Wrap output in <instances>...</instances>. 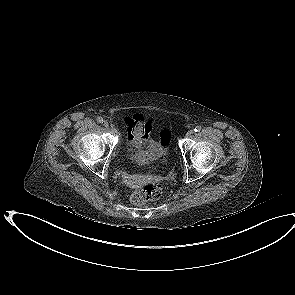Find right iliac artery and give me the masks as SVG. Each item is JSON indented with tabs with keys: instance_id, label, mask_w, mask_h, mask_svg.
Masks as SVG:
<instances>
[{
	"instance_id": "right-iliac-artery-1",
	"label": "right iliac artery",
	"mask_w": 295,
	"mask_h": 295,
	"mask_svg": "<svg viewBox=\"0 0 295 295\" xmlns=\"http://www.w3.org/2000/svg\"><path fill=\"white\" fill-rule=\"evenodd\" d=\"M97 122H98V123H103V118H102V117H98V118H97Z\"/></svg>"
}]
</instances>
